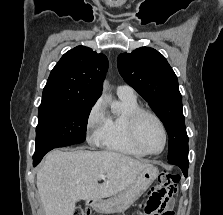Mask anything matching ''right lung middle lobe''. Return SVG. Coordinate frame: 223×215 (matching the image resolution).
Returning <instances> with one entry per match:
<instances>
[{
  "instance_id": "1",
  "label": "right lung middle lobe",
  "mask_w": 223,
  "mask_h": 215,
  "mask_svg": "<svg viewBox=\"0 0 223 215\" xmlns=\"http://www.w3.org/2000/svg\"><path fill=\"white\" fill-rule=\"evenodd\" d=\"M94 104L42 99L35 153L84 142L88 116Z\"/></svg>"
}]
</instances>
